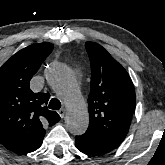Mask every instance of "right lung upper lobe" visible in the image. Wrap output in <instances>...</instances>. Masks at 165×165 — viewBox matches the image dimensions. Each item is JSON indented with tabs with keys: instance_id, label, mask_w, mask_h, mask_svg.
<instances>
[{
	"instance_id": "obj_1",
	"label": "right lung upper lobe",
	"mask_w": 165,
	"mask_h": 165,
	"mask_svg": "<svg viewBox=\"0 0 165 165\" xmlns=\"http://www.w3.org/2000/svg\"><path fill=\"white\" fill-rule=\"evenodd\" d=\"M48 42L33 44L14 54L0 68V142L10 151L23 153L40 142L44 125L60 116L47 109L49 93H33L29 82L52 52Z\"/></svg>"
}]
</instances>
